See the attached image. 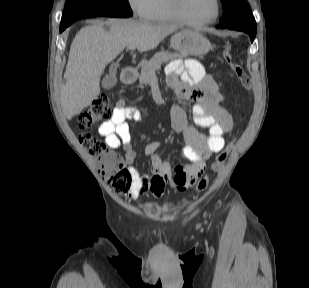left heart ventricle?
Masks as SVG:
<instances>
[{
    "mask_svg": "<svg viewBox=\"0 0 309 288\" xmlns=\"http://www.w3.org/2000/svg\"><path fill=\"white\" fill-rule=\"evenodd\" d=\"M182 11L190 20H206L215 12V0H182Z\"/></svg>",
    "mask_w": 309,
    "mask_h": 288,
    "instance_id": "1",
    "label": "left heart ventricle"
}]
</instances>
